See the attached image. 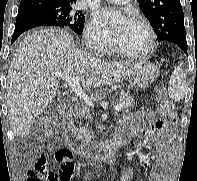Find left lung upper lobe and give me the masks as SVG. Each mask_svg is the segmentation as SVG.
Wrapping results in <instances>:
<instances>
[{
  "label": "left lung upper lobe",
  "mask_w": 197,
  "mask_h": 181,
  "mask_svg": "<svg viewBox=\"0 0 197 181\" xmlns=\"http://www.w3.org/2000/svg\"><path fill=\"white\" fill-rule=\"evenodd\" d=\"M143 14L154 28L158 41L186 39L180 0H137Z\"/></svg>",
  "instance_id": "left-lung-upper-lobe-1"
}]
</instances>
